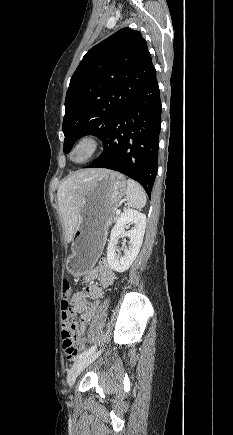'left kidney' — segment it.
<instances>
[{
  "instance_id": "left-kidney-1",
  "label": "left kidney",
  "mask_w": 233,
  "mask_h": 435,
  "mask_svg": "<svg viewBox=\"0 0 233 435\" xmlns=\"http://www.w3.org/2000/svg\"><path fill=\"white\" fill-rule=\"evenodd\" d=\"M129 223L133 224L134 227L125 232V225ZM145 227L146 216L137 210L128 208L120 215L111 231L107 247V261L111 269L117 272H124L129 269L141 248ZM120 236L130 238L129 247L124 249V255L121 257L116 253Z\"/></svg>"
}]
</instances>
